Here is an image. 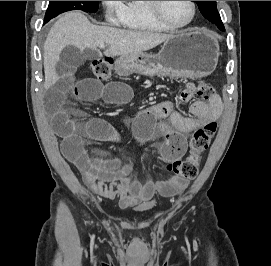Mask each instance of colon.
<instances>
[{"instance_id": "obj_1", "label": "colon", "mask_w": 271, "mask_h": 266, "mask_svg": "<svg viewBox=\"0 0 271 266\" xmlns=\"http://www.w3.org/2000/svg\"><path fill=\"white\" fill-rule=\"evenodd\" d=\"M112 62L107 58L95 59L91 63V71L98 80H105L111 74ZM215 94L214 87L206 81L188 84L180 93V98L193 97L197 101H209ZM217 130V124L211 122L198 128L190 139L189 155L183 160H175L167 164V170L177 178L191 180L196 177L201 154L209 147Z\"/></svg>"}]
</instances>
